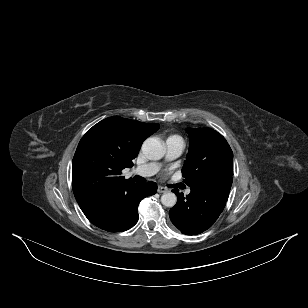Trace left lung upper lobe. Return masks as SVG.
Masks as SVG:
<instances>
[{"label": "left lung upper lobe", "mask_w": 308, "mask_h": 308, "mask_svg": "<svg viewBox=\"0 0 308 308\" xmlns=\"http://www.w3.org/2000/svg\"><path fill=\"white\" fill-rule=\"evenodd\" d=\"M187 132L190 147L182 175L188 186L233 175V152L221 134L210 128H188Z\"/></svg>", "instance_id": "left-lung-upper-lobe-1"}]
</instances>
